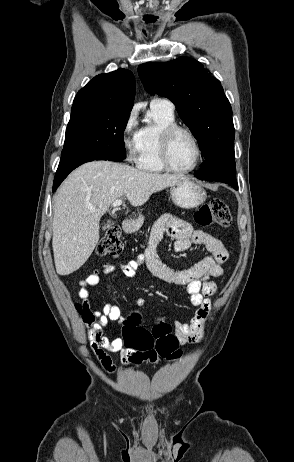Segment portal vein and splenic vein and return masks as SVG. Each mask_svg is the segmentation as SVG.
<instances>
[{
	"mask_svg": "<svg viewBox=\"0 0 294 462\" xmlns=\"http://www.w3.org/2000/svg\"><path fill=\"white\" fill-rule=\"evenodd\" d=\"M121 204H122V200H121V199H117V200H115V201L113 202L112 207H113L114 209H116V208H118ZM90 211H91V212H94V211H95V208L91 207V208H90Z\"/></svg>",
	"mask_w": 294,
	"mask_h": 462,
	"instance_id": "18ae733b",
	"label": "portal vein and splenic vein"
}]
</instances>
